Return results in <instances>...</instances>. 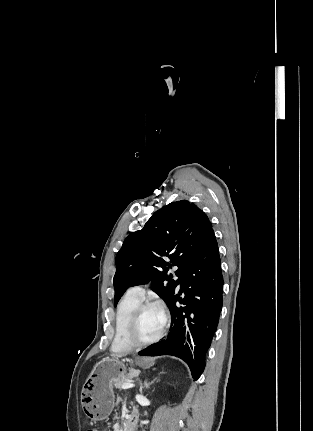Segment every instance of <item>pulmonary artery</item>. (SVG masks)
Wrapping results in <instances>:
<instances>
[{
  "instance_id": "obj_1",
  "label": "pulmonary artery",
  "mask_w": 313,
  "mask_h": 431,
  "mask_svg": "<svg viewBox=\"0 0 313 431\" xmlns=\"http://www.w3.org/2000/svg\"><path fill=\"white\" fill-rule=\"evenodd\" d=\"M127 293L134 296V297L143 299L144 294H145V289L141 285H136V286L129 288Z\"/></svg>"
}]
</instances>
